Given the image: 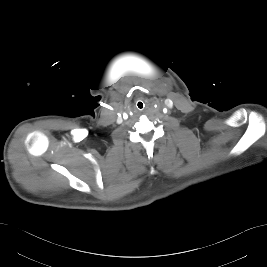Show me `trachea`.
<instances>
[{
    "label": "trachea",
    "mask_w": 267,
    "mask_h": 267,
    "mask_svg": "<svg viewBox=\"0 0 267 267\" xmlns=\"http://www.w3.org/2000/svg\"><path fill=\"white\" fill-rule=\"evenodd\" d=\"M137 106H138L139 109H142V108H143V103H142V102H139V103L137 104Z\"/></svg>",
    "instance_id": "obj_1"
}]
</instances>
